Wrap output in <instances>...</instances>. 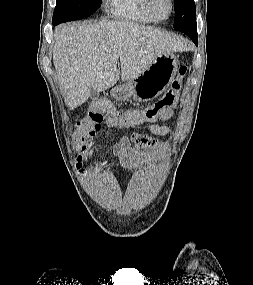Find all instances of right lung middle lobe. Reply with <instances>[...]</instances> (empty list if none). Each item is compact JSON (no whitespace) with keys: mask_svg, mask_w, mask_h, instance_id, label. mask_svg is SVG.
Returning <instances> with one entry per match:
<instances>
[{"mask_svg":"<svg viewBox=\"0 0 253 285\" xmlns=\"http://www.w3.org/2000/svg\"><path fill=\"white\" fill-rule=\"evenodd\" d=\"M102 0H57L53 21L59 23L77 20L91 15Z\"/></svg>","mask_w":253,"mask_h":285,"instance_id":"1","label":"right lung middle lobe"}]
</instances>
